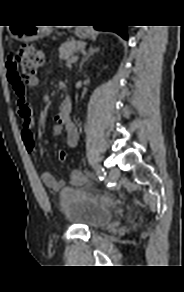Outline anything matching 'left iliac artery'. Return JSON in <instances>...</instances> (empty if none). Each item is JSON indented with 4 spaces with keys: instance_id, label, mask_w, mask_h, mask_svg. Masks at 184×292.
<instances>
[{
    "instance_id": "obj_1",
    "label": "left iliac artery",
    "mask_w": 184,
    "mask_h": 292,
    "mask_svg": "<svg viewBox=\"0 0 184 292\" xmlns=\"http://www.w3.org/2000/svg\"><path fill=\"white\" fill-rule=\"evenodd\" d=\"M95 171L98 178L102 181L106 175L104 168L101 165H95Z\"/></svg>"
}]
</instances>
